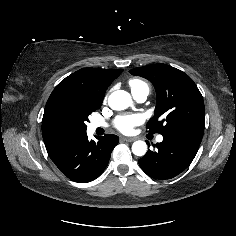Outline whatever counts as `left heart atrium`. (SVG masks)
Returning <instances> with one entry per match:
<instances>
[{
	"mask_svg": "<svg viewBox=\"0 0 236 236\" xmlns=\"http://www.w3.org/2000/svg\"><path fill=\"white\" fill-rule=\"evenodd\" d=\"M142 121V116L138 114L120 115L115 119V126L122 133H130Z\"/></svg>",
	"mask_w": 236,
	"mask_h": 236,
	"instance_id": "1",
	"label": "left heart atrium"
}]
</instances>
